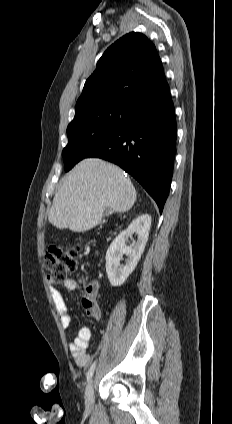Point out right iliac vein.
Instances as JSON below:
<instances>
[{
    "label": "right iliac vein",
    "mask_w": 232,
    "mask_h": 424,
    "mask_svg": "<svg viewBox=\"0 0 232 424\" xmlns=\"http://www.w3.org/2000/svg\"><path fill=\"white\" fill-rule=\"evenodd\" d=\"M93 404H94V383H93V380H90L85 390L86 409L90 411L93 408Z\"/></svg>",
    "instance_id": "obj_1"
}]
</instances>
